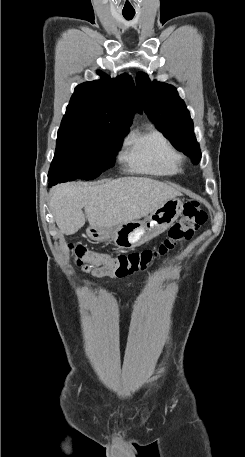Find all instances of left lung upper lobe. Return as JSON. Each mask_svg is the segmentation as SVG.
<instances>
[{"instance_id":"5c2ea615","label":"left lung upper lobe","mask_w":245,"mask_h":457,"mask_svg":"<svg viewBox=\"0 0 245 457\" xmlns=\"http://www.w3.org/2000/svg\"><path fill=\"white\" fill-rule=\"evenodd\" d=\"M136 85L141 105L149 119L179 151L198 164L201 152L193 132V122L176 89L166 83L151 82L143 72L137 74Z\"/></svg>"}]
</instances>
